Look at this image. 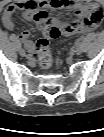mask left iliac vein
<instances>
[{"label":"left iliac vein","instance_id":"1","mask_svg":"<svg viewBox=\"0 0 104 137\" xmlns=\"http://www.w3.org/2000/svg\"><path fill=\"white\" fill-rule=\"evenodd\" d=\"M74 52H75V54L79 55V54L82 53V48H81L80 46H76V47L74 48Z\"/></svg>","mask_w":104,"mask_h":137}]
</instances>
